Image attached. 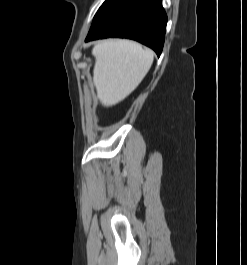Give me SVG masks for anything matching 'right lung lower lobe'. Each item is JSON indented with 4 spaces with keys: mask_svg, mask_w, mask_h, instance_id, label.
<instances>
[{
    "mask_svg": "<svg viewBox=\"0 0 247 265\" xmlns=\"http://www.w3.org/2000/svg\"><path fill=\"white\" fill-rule=\"evenodd\" d=\"M166 23L161 0H106L96 13L85 41L130 38L149 46L160 56Z\"/></svg>",
    "mask_w": 247,
    "mask_h": 265,
    "instance_id": "98d812e1",
    "label": "right lung lower lobe"
}]
</instances>
